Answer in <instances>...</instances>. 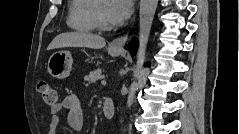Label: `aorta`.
<instances>
[{"mask_svg": "<svg viewBox=\"0 0 239 134\" xmlns=\"http://www.w3.org/2000/svg\"><path fill=\"white\" fill-rule=\"evenodd\" d=\"M158 0H141L139 11V47L137 51L136 69L134 71V80L130 85L127 98V107L130 108L134 102L135 93L138 88V82L143 64L145 62L147 44L151 31L152 22L156 12Z\"/></svg>", "mask_w": 239, "mask_h": 134, "instance_id": "obj_1", "label": "aorta"}]
</instances>
